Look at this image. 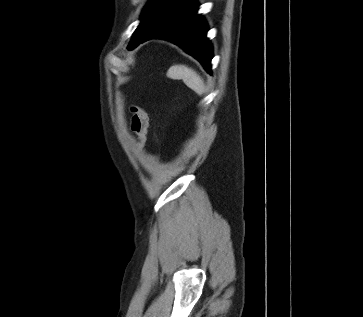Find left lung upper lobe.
I'll return each instance as SVG.
<instances>
[{
    "instance_id": "left-lung-upper-lobe-1",
    "label": "left lung upper lobe",
    "mask_w": 363,
    "mask_h": 317,
    "mask_svg": "<svg viewBox=\"0 0 363 317\" xmlns=\"http://www.w3.org/2000/svg\"><path fill=\"white\" fill-rule=\"evenodd\" d=\"M159 0H154L151 1L144 9L143 11V15L141 18V23L139 24V26L137 27V29L135 30V33L132 37V40L130 42V46H132L133 44H135L144 34V32L146 31L150 21H151V16H152V12L154 11L157 3Z\"/></svg>"
}]
</instances>
